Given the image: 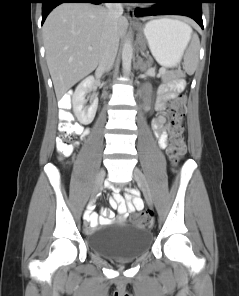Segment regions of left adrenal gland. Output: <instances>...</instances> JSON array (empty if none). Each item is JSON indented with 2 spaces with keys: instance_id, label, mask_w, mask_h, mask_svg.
Instances as JSON below:
<instances>
[{
  "instance_id": "a2214340",
  "label": "left adrenal gland",
  "mask_w": 239,
  "mask_h": 296,
  "mask_svg": "<svg viewBox=\"0 0 239 296\" xmlns=\"http://www.w3.org/2000/svg\"><path fill=\"white\" fill-rule=\"evenodd\" d=\"M141 53L144 54L142 50H141ZM141 63H142V59L139 58V63H138V68H139V69H142V65H141Z\"/></svg>"
}]
</instances>
